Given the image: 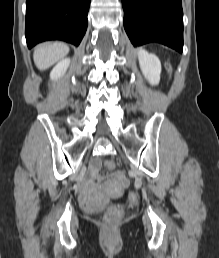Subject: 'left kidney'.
<instances>
[{
    "label": "left kidney",
    "mask_w": 219,
    "mask_h": 258,
    "mask_svg": "<svg viewBox=\"0 0 219 258\" xmlns=\"http://www.w3.org/2000/svg\"><path fill=\"white\" fill-rule=\"evenodd\" d=\"M139 65L143 75L150 84L157 85L160 81L161 63L157 56L149 54L147 51L138 50Z\"/></svg>",
    "instance_id": "5707ae66"
}]
</instances>
